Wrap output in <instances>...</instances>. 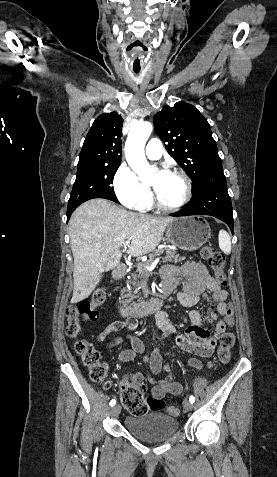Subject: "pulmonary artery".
Here are the masks:
<instances>
[{
	"label": "pulmonary artery",
	"instance_id": "e3ab8cb5",
	"mask_svg": "<svg viewBox=\"0 0 277 477\" xmlns=\"http://www.w3.org/2000/svg\"><path fill=\"white\" fill-rule=\"evenodd\" d=\"M145 153L149 159H159L162 155L161 142L156 138L151 139L146 145Z\"/></svg>",
	"mask_w": 277,
	"mask_h": 477
}]
</instances>
